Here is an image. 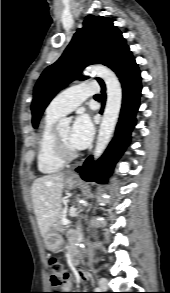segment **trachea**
Segmentation results:
<instances>
[{"mask_svg": "<svg viewBox=\"0 0 170 293\" xmlns=\"http://www.w3.org/2000/svg\"><path fill=\"white\" fill-rule=\"evenodd\" d=\"M95 97H101L99 94L95 95Z\"/></svg>", "mask_w": 170, "mask_h": 293, "instance_id": "3493384b", "label": "trachea"}]
</instances>
